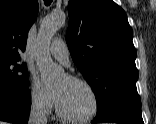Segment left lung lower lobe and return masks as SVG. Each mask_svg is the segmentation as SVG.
<instances>
[{
	"instance_id": "obj_1",
	"label": "left lung lower lobe",
	"mask_w": 156,
	"mask_h": 124,
	"mask_svg": "<svg viewBox=\"0 0 156 124\" xmlns=\"http://www.w3.org/2000/svg\"><path fill=\"white\" fill-rule=\"evenodd\" d=\"M93 123L115 122L120 124H144L141 112L126 108H113L96 116Z\"/></svg>"
}]
</instances>
